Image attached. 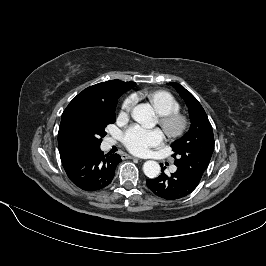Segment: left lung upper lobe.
I'll return each mask as SVG.
<instances>
[{
	"mask_svg": "<svg viewBox=\"0 0 266 266\" xmlns=\"http://www.w3.org/2000/svg\"><path fill=\"white\" fill-rule=\"evenodd\" d=\"M169 84L184 99L191 120L190 130L171 145L174 151V164L193 181L199 183L214 150L212 126L203 107L189 91L178 83Z\"/></svg>",
	"mask_w": 266,
	"mask_h": 266,
	"instance_id": "obj_1",
	"label": "left lung upper lobe"
}]
</instances>
